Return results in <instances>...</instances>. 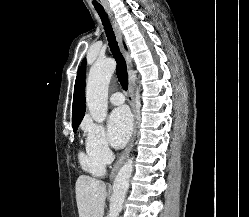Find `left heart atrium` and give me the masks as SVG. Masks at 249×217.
<instances>
[{
	"label": "left heart atrium",
	"instance_id": "obj_1",
	"mask_svg": "<svg viewBox=\"0 0 249 217\" xmlns=\"http://www.w3.org/2000/svg\"><path fill=\"white\" fill-rule=\"evenodd\" d=\"M132 130V117L125 107L115 109L109 117V138L115 147H122Z\"/></svg>",
	"mask_w": 249,
	"mask_h": 217
}]
</instances>
